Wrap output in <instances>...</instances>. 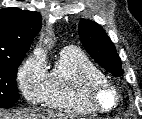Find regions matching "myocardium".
Here are the masks:
<instances>
[{
  "label": "myocardium",
  "mask_w": 142,
  "mask_h": 119,
  "mask_svg": "<svg viewBox=\"0 0 142 119\" xmlns=\"http://www.w3.org/2000/svg\"><path fill=\"white\" fill-rule=\"evenodd\" d=\"M85 99L95 111L110 112L118 105L119 94L108 81H94L88 86Z\"/></svg>",
  "instance_id": "myocardium-1"
}]
</instances>
